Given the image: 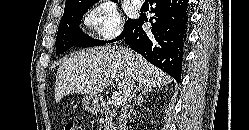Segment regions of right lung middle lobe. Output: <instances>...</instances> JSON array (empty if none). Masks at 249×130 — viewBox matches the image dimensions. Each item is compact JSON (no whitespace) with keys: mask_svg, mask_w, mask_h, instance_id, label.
I'll list each match as a JSON object with an SVG mask.
<instances>
[{"mask_svg":"<svg viewBox=\"0 0 249 130\" xmlns=\"http://www.w3.org/2000/svg\"><path fill=\"white\" fill-rule=\"evenodd\" d=\"M91 6L82 8L65 7L56 38V55L66 52L73 46L93 47L107 43V41L93 39L79 28L82 16ZM134 21L132 19L127 20L123 32L116 40H121L126 35Z\"/></svg>","mask_w":249,"mask_h":130,"instance_id":"obj_1","label":"right lung middle lobe"}]
</instances>
